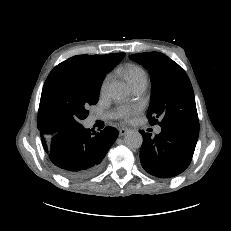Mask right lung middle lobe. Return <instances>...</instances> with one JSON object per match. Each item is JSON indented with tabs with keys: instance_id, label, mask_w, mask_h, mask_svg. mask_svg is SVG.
<instances>
[{
	"instance_id": "dd1d6c3e",
	"label": "right lung middle lobe",
	"mask_w": 231,
	"mask_h": 231,
	"mask_svg": "<svg viewBox=\"0 0 231 231\" xmlns=\"http://www.w3.org/2000/svg\"><path fill=\"white\" fill-rule=\"evenodd\" d=\"M102 78L57 65L48 75L38 110V129L81 124L99 99Z\"/></svg>"
}]
</instances>
